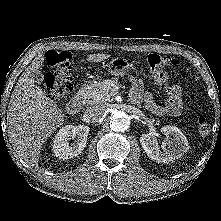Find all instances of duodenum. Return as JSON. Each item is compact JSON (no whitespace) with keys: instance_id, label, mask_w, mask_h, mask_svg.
Listing matches in <instances>:
<instances>
[{"instance_id":"duodenum-1","label":"duodenum","mask_w":221,"mask_h":221,"mask_svg":"<svg viewBox=\"0 0 221 221\" xmlns=\"http://www.w3.org/2000/svg\"><path fill=\"white\" fill-rule=\"evenodd\" d=\"M89 99V89L86 86L80 87L77 94L67 103V111L71 114L78 113L82 105L88 102Z\"/></svg>"}]
</instances>
